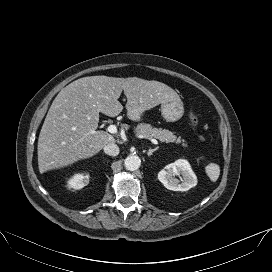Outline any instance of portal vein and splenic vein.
I'll return each mask as SVG.
<instances>
[{
  "mask_svg": "<svg viewBox=\"0 0 272 272\" xmlns=\"http://www.w3.org/2000/svg\"><path fill=\"white\" fill-rule=\"evenodd\" d=\"M108 132H110L111 134H118V129L115 125L111 124L108 126ZM139 138H147L146 136L143 135H138ZM149 139L153 144L158 145V141L152 137L147 138Z\"/></svg>",
  "mask_w": 272,
  "mask_h": 272,
  "instance_id": "1",
  "label": "portal vein and splenic vein"
}]
</instances>
